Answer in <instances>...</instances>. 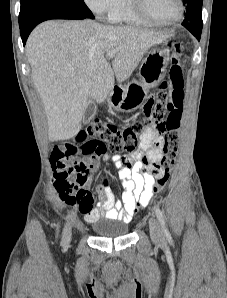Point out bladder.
<instances>
[{"instance_id": "31cf9c89", "label": "bladder", "mask_w": 227, "mask_h": 298, "mask_svg": "<svg viewBox=\"0 0 227 298\" xmlns=\"http://www.w3.org/2000/svg\"><path fill=\"white\" fill-rule=\"evenodd\" d=\"M92 228L98 236L106 238L125 236L129 232V225L122 221L100 220Z\"/></svg>"}]
</instances>
